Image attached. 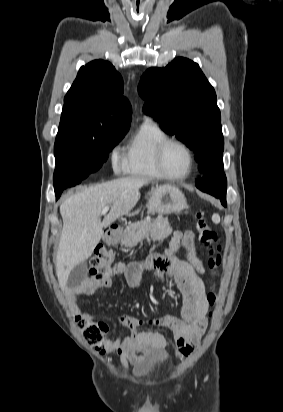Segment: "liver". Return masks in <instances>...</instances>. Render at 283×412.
Wrapping results in <instances>:
<instances>
[{
    "instance_id": "6515ba94",
    "label": "liver",
    "mask_w": 283,
    "mask_h": 412,
    "mask_svg": "<svg viewBox=\"0 0 283 412\" xmlns=\"http://www.w3.org/2000/svg\"><path fill=\"white\" fill-rule=\"evenodd\" d=\"M146 178H120L77 192L60 205L63 228L60 237L56 273L60 287L65 288L71 270L87 260L109 226L124 215H131L140 199V188L147 185ZM110 212L101 220L104 207Z\"/></svg>"
}]
</instances>
